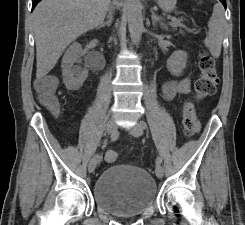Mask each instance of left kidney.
I'll return each instance as SVG.
<instances>
[{
	"label": "left kidney",
	"mask_w": 245,
	"mask_h": 225,
	"mask_svg": "<svg viewBox=\"0 0 245 225\" xmlns=\"http://www.w3.org/2000/svg\"><path fill=\"white\" fill-rule=\"evenodd\" d=\"M187 53L184 51H175L167 60V68L173 75H180L186 68Z\"/></svg>",
	"instance_id": "5707ae66"
}]
</instances>
